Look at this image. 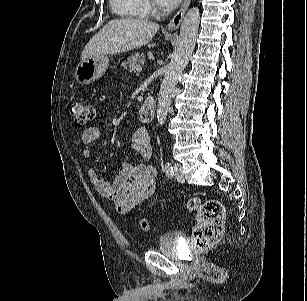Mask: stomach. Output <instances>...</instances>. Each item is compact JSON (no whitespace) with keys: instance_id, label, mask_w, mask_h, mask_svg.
I'll list each match as a JSON object with an SVG mask.
<instances>
[{"instance_id":"0dacf381","label":"stomach","mask_w":307,"mask_h":301,"mask_svg":"<svg viewBox=\"0 0 307 301\" xmlns=\"http://www.w3.org/2000/svg\"><path fill=\"white\" fill-rule=\"evenodd\" d=\"M108 65L109 59L105 55L85 59L77 65L74 72L75 79L81 85H88L101 77Z\"/></svg>"}]
</instances>
